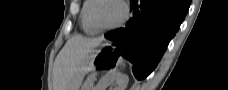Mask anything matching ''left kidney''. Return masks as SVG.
<instances>
[{
	"label": "left kidney",
	"mask_w": 228,
	"mask_h": 90,
	"mask_svg": "<svg viewBox=\"0 0 228 90\" xmlns=\"http://www.w3.org/2000/svg\"><path fill=\"white\" fill-rule=\"evenodd\" d=\"M110 81L116 82L117 86L115 90H125L129 78L126 74H122L120 72L108 73L99 80L95 90H105L107 83Z\"/></svg>",
	"instance_id": "obj_1"
}]
</instances>
